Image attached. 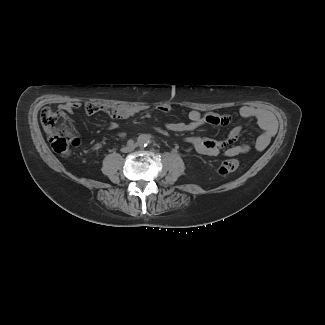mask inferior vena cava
<instances>
[{
  "mask_svg": "<svg viewBox=\"0 0 325 325\" xmlns=\"http://www.w3.org/2000/svg\"><path fill=\"white\" fill-rule=\"evenodd\" d=\"M135 149V145L127 146L122 149L123 152H131Z\"/></svg>",
  "mask_w": 325,
  "mask_h": 325,
  "instance_id": "inferior-vena-cava-1",
  "label": "inferior vena cava"
}]
</instances>
